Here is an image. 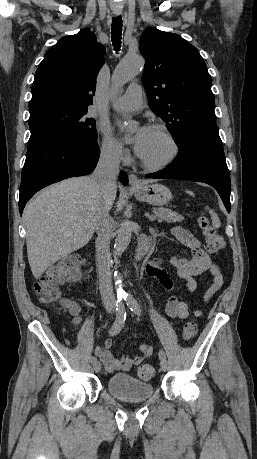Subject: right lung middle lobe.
<instances>
[{"mask_svg": "<svg viewBox=\"0 0 257 459\" xmlns=\"http://www.w3.org/2000/svg\"><path fill=\"white\" fill-rule=\"evenodd\" d=\"M86 107L49 106L30 112L31 135L51 133L82 141H97L95 120L86 116Z\"/></svg>", "mask_w": 257, "mask_h": 459, "instance_id": "right-lung-middle-lobe-1", "label": "right lung middle lobe"}]
</instances>
